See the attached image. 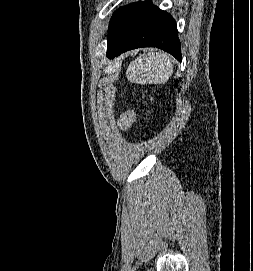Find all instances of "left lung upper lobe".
<instances>
[{
	"label": "left lung upper lobe",
	"mask_w": 253,
	"mask_h": 271,
	"mask_svg": "<svg viewBox=\"0 0 253 271\" xmlns=\"http://www.w3.org/2000/svg\"><path fill=\"white\" fill-rule=\"evenodd\" d=\"M125 7H121L120 9H118L117 11L114 12V14L112 15V18L110 20L109 23V30H108V37L107 40L110 38V36L112 35V33L114 32L119 19L121 18L123 12H124Z\"/></svg>",
	"instance_id": "1"
}]
</instances>
